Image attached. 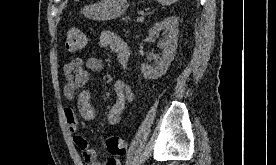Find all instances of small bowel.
<instances>
[{
  "instance_id": "small-bowel-1",
  "label": "small bowel",
  "mask_w": 276,
  "mask_h": 165,
  "mask_svg": "<svg viewBox=\"0 0 276 165\" xmlns=\"http://www.w3.org/2000/svg\"><path fill=\"white\" fill-rule=\"evenodd\" d=\"M99 44L114 52L119 64L126 67L130 57L128 43L124 38L112 31H103L99 36ZM103 63L99 58L90 57L87 60L75 58L66 63L63 72L66 83L63 88L67 100H73L77 96V108L81 117L86 121L95 118V109L91 103V91L86 88L89 80V72H101ZM115 101L107 112L106 121L109 125H116L121 120L127 103L134 99L132 88L123 80L114 83ZM68 128L73 136L75 145L80 149L85 165H102L97 160L96 151L89 146L87 140L78 132V117L72 108L64 111ZM104 165H119L116 157H108Z\"/></svg>"
}]
</instances>
